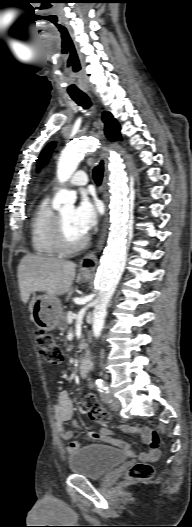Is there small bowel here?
Here are the masks:
<instances>
[{
  "label": "small bowel",
  "mask_w": 192,
  "mask_h": 527,
  "mask_svg": "<svg viewBox=\"0 0 192 527\" xmlns=\"http://www.w3.org/2000/svg\"><path fill=\"white\" fill-rule=\"evenodd\" d=\"M54 414L56 418V431L62 441L69 442L67 450L69 453H72L80 447V442L76 440H72L74 436V432L72 430H66L64 428V423L71 422L75 428H78L79 424L74 419L73 401L71 399L70 394L67 391H61L58 394L57 403L54 405ZM123 427L124 429H122V432H124L125 434H130L131 432L134 431L136 433H140V435L143 438H146L147 435L149 434V429L147 427H143L141 423H134L131 429L130 424L128 422H125L123 424ZM91 437L93 439L100 440L104 443H109V444L122 447L126 451H128L130 454H132V457H135V454H133V450L131 446L123 440L114 439L111 436L110 429L105 426L100 428L99 433L91 434ZM156 454H157V451L155 449L150 448L141 454V456L139 457V462L141 464L148 463L150 465H153L157 461Z\"/></svg>",
  "instance_id": "obj_1"
}]
</instances>
